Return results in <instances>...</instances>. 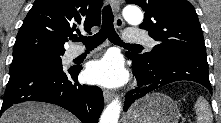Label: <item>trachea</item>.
<instances>
[{
	"label": "trachea",
	"instance_id": "obj_1",
	"mask_svg": "<svg viewBox=\"0 0 221 123\" xmlns=\"http://www.w3.org/2000/svg\"><path fill=\"white\" fill-rule=\"evenodd\" d=\"M102 27L98 33L93 36H80L76 39V41L83 42V44L88 48H95L98 45L102 44L106 39H108L111 43L120 46L134 47L140 46L138 44H129L124 43L114 29V16L112 13V9L110 5H106L102 11Z\"/></svg>",
	"mask_w": 221,
	"mask_h": 123
}]
</instances>
